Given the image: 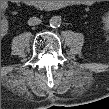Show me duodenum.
Returning a JSON list of instances; mask_svg holds the SVG:
<instances>
[{"label": "duodenum", "mask_w": 109, "mask_h": 109, "mask_svg": "<svg viewBox=\"0 0 109 109\" xmlns=\"http://www.w3.org/2000/svg\"><path fill=\"white\" fill-rule=\"evenodd\" d=\"M26 5L34 8H39L41 10H49L54 7L53 4L46 1H26Z\"/></svg>", "instance_id": "obj_1"}]
</instances>
